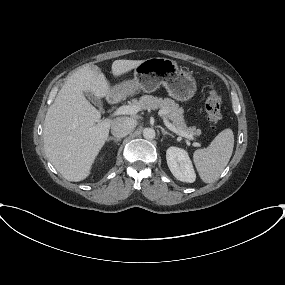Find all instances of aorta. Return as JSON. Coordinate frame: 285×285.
I'll list each match as a JSON object with an SVG mask.
<instances>
[{"instance_id":"obj_1","label":"aorta","mask_w":285,"mask_h":285,"mask_svg":"<svg viewBox=\"0 0 285 285\" xmlns=\"http://www.w3.org/2000/svg\"><path fill=\"white\" fill-rule=\"evenodd\" d=\"M143 136L145 139L152 140L156 136L155 130L153 128H145L143 130Z\"/></svg>"}]
</instances>
